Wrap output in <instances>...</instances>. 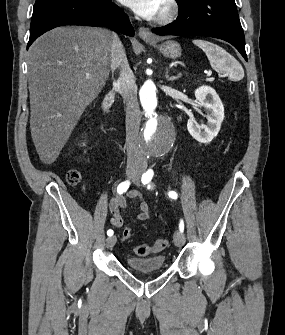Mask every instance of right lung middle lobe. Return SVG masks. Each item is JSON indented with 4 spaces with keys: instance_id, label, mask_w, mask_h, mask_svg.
<instances>
[{
    "instance_id": "1",
    "label": "right lung middle lobe",
    "mask_w": 285,
    "mask_h": 335,
    "mask_svg": "<svg viewBox=\"0 0 285 335\" xmlns=\"http://www.w3.org/2000/svg\"><path fill=\"white\" fill-rule=\"evenodd\" d=\"M39 1H41V0H36V2H39Z\"/></svg>"
}]
</instances>
